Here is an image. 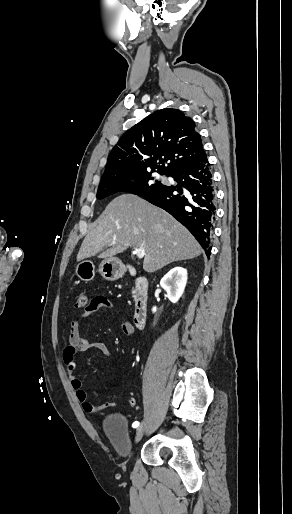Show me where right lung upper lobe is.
Masks as SVG:
<instances>
[{
	"mask_svg": "<svg viewBox=\"0 0 292 514\" xmlns=\"http://www.w3.org/2000/svg\"><path fill=\"white\" fill-rule=\"evenodd\" d=\"M203 156L194 121L178 109H161L123 134L101 180L156 170L170 175Z\"/></svg>",
	"mask_w": 292,
	"mask_h": 514,
	"instance_id": "right-lung-upper-lobe-1",
	"label": "right lung upper lobe"
}]
</instances>
